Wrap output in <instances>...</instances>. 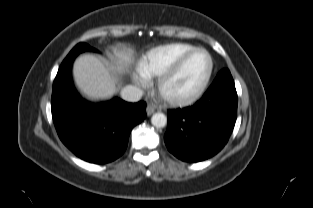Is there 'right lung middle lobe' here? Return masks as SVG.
<instances>
[{
    "label": "right lung middle lobe",
    "instance_id": "right-lung-middle-lobe-1",
    "mask_svg": "<svg viewBox=\"0 0 313 208\" xmlns=\"http://www.w3.org/2000/svg\"><path fill=\"white\" fill-rule=\"evenodd\" d=\"M86 49H88V45L87 44L79 43L71 50V52L68 55H70V56L71 55H75L78 52L85 51Z\"/></svg>",
    "mask_w": 313,
    "mask_h": 208
}]
</instances>
